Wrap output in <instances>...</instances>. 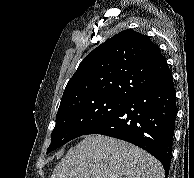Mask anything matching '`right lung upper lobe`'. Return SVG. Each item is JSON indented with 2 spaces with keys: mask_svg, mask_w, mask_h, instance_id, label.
<instances>
[{
  "mask_svg": "<svg viewBox=\"0 0 194 178\" xmlns=\"http://www.w3.org/2000/svg\"><path fill=\"white\" fill-rule=\"evenodd\" d=\"M171 78L160 48L148 36L125 30L83 59L66 85L60 107L91 97L129 99Z\"/></svg>",
  "mask_w": 194,
  "mask_h": 178,
  "instance_id": "obj_1",
  "label": "right lung upper lobe"
}]
</instances>
